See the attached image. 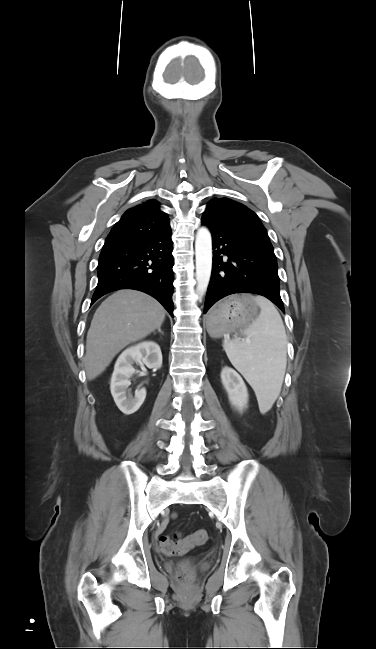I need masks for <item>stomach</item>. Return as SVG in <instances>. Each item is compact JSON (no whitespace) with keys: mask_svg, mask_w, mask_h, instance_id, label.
<instances>
[{"mask_svg":"<svg viewBox=\"0 0 376 649\" xmlns=\"http://www.w3.org/2000/svg\"><path fill=\"white\" fill-rule=\"evenodd\" d=\"M258 315V304L248 294L231 295L217 303L207 317V330L220 337L250 325Z\"/></svg>","mask_w":376,"mask_h":649,"instance_id":"0dacf381","label":"stomach"}]
</instances>
